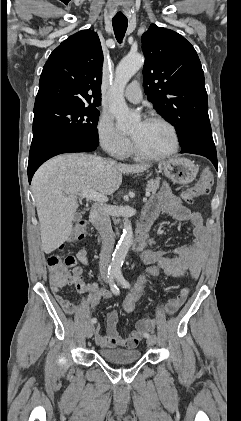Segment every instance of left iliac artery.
I'll use <instances>...</instances> for the list:
<instances>
[{
	"label": "left iliac artery",
	"instance_id": "left-iliac-artery-1",
	"mask_svg": "<svg viewBox=\"0 0 241 421\" xmlns=\"http://www.w3.org/2000/svg\"><path fill=\"white\" fill-rule=\"evenodd\" d=\"M115 277H116L118 283L121 284L123 287H125V288H129L130 287V284L123 277L122 272H121L120 269H116V271H115ZM149 336L150 335L148 333L145 334V337L146 338H149Z\"/></svg>",
	"mask_w": 241,
	"mask_h": 421
}]
</instances>
